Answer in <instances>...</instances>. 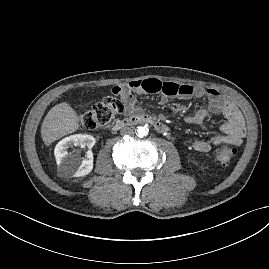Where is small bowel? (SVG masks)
<instances>
[{
	"instance_id": "1",
	"label": "small bowel",
	"mask_w": 269,
	"mask_h": 269,
	"mask_svg": "<svg viewBox=\"0 0 269 269\" xmlns=\"http://www.w3.org/2000/svg\"><path fill=\"white\" fill-rule=\"evenodd\" d=\"M114 89L120 90L124 94V112L127 115L140 113L134 94L161 93V104L167 103L171 97H177L182 100H187L191 97H206L208 99L207 109L198 110L194 115L187 118V122L200 128H205V118L208 112L222 114L227 121L221 125L219 134L213 135L207 140L197 139L193 141L191 147L196 152H207L210 150L211 145L219 143L240 145L245 137V122L241 112L214 88L162 82L158 79L150 78L130 81Z\"/></svg>"
}]
</instances>
